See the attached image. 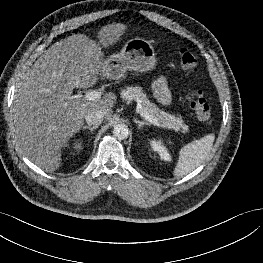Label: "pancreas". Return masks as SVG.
<instances>
[{"label": "pancreas", "mask_w": 263, "mask_h": 263, "mask_svg": "<svg viewBox=\"0 0 263 263\" xmlns=\"http://www.w3.org/2000/svg\"><path fill=\"white\" fill-rule=\"evenodd\" d=\"M120 96L125 101L130 102L135 100L139 103L141 105V111L156 118L161 127L169 130L180 131L184 134L189 132L188 126L184 123L181 117L160 110L154 103L150 102L141 87H126L122 89Z\"/></svg>", "instance_id": "pancreas-1"}]
</instances>
